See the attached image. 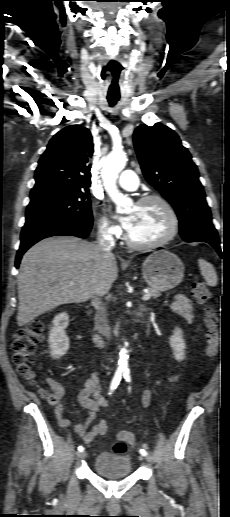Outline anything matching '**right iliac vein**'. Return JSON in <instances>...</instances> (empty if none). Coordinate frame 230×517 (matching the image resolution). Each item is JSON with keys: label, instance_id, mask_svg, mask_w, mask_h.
<instances>
[{"label": "right iliac vein", "instance_id": "1", "mask_svg": "<svg viewBox=\"0 0 230 517\" xmlns=\"http://www.w3.org/2000/svg\"><path fill=\"white\" fill-rule=\"evenodd\" d=\"M77 457H78L79 459H83V458H85V457H86V451H82V452L78 453V454H77Z\"/></svg>", "mask_w": 230, "mask_h": 517}]
</instances>
